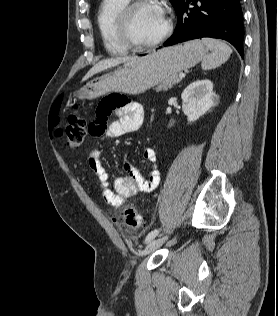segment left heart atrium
I'll return each instance as SVG.
<instances>
[{
  "label": "left heart atrium",
  "mask_w": 278,
  "mask_h": 316,
  "mask_svg": "<svg viewBox=\"0 0 278 316\" xmlns=\"http://www.w3.org/2000/svg\"><path fill=\"white\" fill-rule=\"evenodd\" d=\"M156 6L158 7V9H159L162 13H164L163 10H162V8H161L160 6H158V5H156Z\"/></svg>",
  "instance_id": "obj_1"
}]
</instances>
